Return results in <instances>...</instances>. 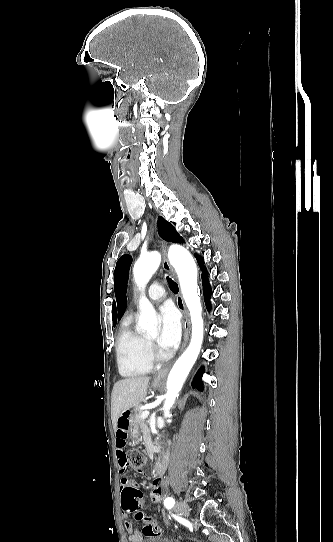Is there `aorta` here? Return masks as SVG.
Instances as JSON below:
<instances>
[{"label":"aorta","mask_w":333,"mask_h":542,"mask_svg":"<svg viewBox=\"0 0 333 542\" xmlns=\"http://www.w3.org/2000/svg\"><path fill=\"white\" fill-rule=\"evenodd\" d=\"M169 254L173 258L172 266L178 274L183 300L189 310L192 334L188 348L178 358L171 372H169L167 394L163 406L164 418L170 416V408L175 404V400L201 352L204 338L202 306L198 296L197 268L193 256L183 246H171ZM160 264L161 256L159 252H150L146 256H140L133 268L137 284L139 286L147 284L153 274L157 272ZM139 308L140 316L137 330L139 332H142V330H146V332L156 330L158 326L156 312L145 296L141 298Z\"/></svg>","instance_id":"762f6f07"}]
</instances>
